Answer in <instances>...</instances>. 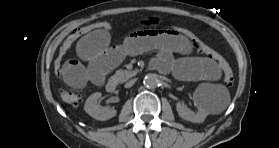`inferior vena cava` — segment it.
I'll return each mask as SVG.
<instances>
[{
  "instance_id": "inferior-vena-cava-1",
  "label": "inferior vena cava",
  "mask_w": 279,
  "mask_h": 148,
  "mask_svg": "<svg viewBox=\"0 0 279 148\" xmlns=\"http://www.w3.org/2000/svg\"><path fill=\"white\" fill-rule=\"evenodd\" d=\"M134 82H135V80H131V81L127 82V83L125 84V87H126V88L132 87V85L134 84Z\"/></svg>"
}]
</instances>
